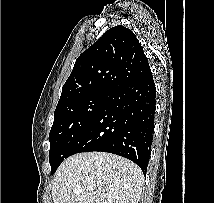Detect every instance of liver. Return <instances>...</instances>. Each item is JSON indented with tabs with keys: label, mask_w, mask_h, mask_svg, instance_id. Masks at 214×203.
Segmentation results:
<instances>
[{
	"label": "liver",
	"mask_w": 214,
	"mask_h": 203,
	"mask_svg": "<svg viewBox=\"0 0 214 203\" xmlns=\"http://www.w3.org/2000/svg\"><path fill=\"white\" fill-rule=\"evenodd\" d=\"M143 183L141 169L130 160L107 152H84L59 166L52 198L54 203H138Z\"/></svg>",
	"instance_id": "6515ba94"
}]
</instances>
